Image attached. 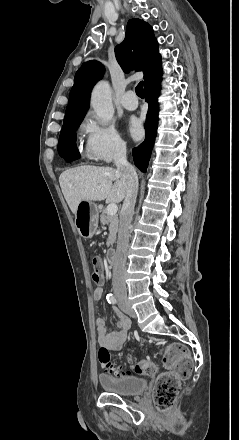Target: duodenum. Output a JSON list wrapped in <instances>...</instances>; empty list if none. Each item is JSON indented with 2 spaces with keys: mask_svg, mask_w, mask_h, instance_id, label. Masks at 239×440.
Wrapping results in <instances>:
<instances>
[{
  "mask_svg": "<svg viewBox=\"0 0 239 440\" xmlns=\"http://www.w3.org/2000/svg\"><path fill=\"white\" fill-rule=\"evenodd\" d=\"M107 262L110 265H114L116 262V252L114 249H109L106 254Z\"/></svg>",
  "mask_w": 239,
  "mask_h": 440,
  "instance_id": "duodenum-1",
  "label": "duodenum"
}]
</instances>
